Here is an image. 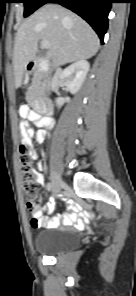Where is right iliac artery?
I'll list each match as a JSON object with an SVG mask.
<instances>
[{"label": "right iliac artery", "mask_w": 136, "mask_h": 296, "mask_svg": "<svg viewBox=\"0 0 136 296\" xmlns=\"http://www.w3.org/2000/svg\"><path fill=\"white\" fill-rule=\"evenodd\" d=\"M47 190H48V191H51V190H52V184H51V183H48V184H47Z\"/></svg>", "instance_id": "1"}]
</instances>
